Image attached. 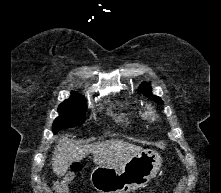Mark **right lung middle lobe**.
<instances>
[{
  "instance_id": "dd1d6c3e",
  "label": "right lung middle lobe",
  "mask_w": 221,
  "mask_h": 193,
  "mask_svg": "<svg viewBox=\"0 0 221 193\" xmlns=\"http://www.w3.org/2000/svg\"><path fill=\"white\" fill-rule=\"evenodd\" d=\"M84 102L85 100L81 96L73 92L69 99L61 103L58 107L60 116L53 122V133L84 123L86 116V106Z\"/></svg>"
}]
</instances>
